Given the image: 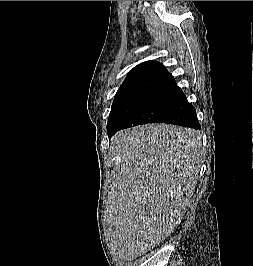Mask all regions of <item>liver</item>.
Masks as SVG:
<instances>
[{"label":"liver","mask_w":253,"mask_h":266,"mask_svg":"<svg viewBox=\"0 0 253 266\" xmlns=\"http://www.w3.org/2000/svg\"><path fill=\"white\" fill-rule=\"evenodd\" d=\"M121 170L110 199L111 237L125 260H133L169 237L195 190L202 159L198 132L169 124H146L112 139Z\"/></svg>","instance_id":"obj_1"}]
</instances>
